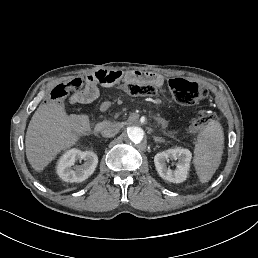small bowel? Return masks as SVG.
<instances>
[{"instance_id": "obj_1", "label": "small bowel", "mask_w": 258, "mask_h": 258, "mask_svg": "<svg viewBox=\"0 0 258 258\" xmlns=\"http://www.w3.org/2000/svg\"><path fill=\"white\" fill-rule=\"evenodd\" d=\"M97 89L96 87L87 85V87L75 95L72 96L73 102H89L96 97Z\"/></svg>"}]
</instances>
